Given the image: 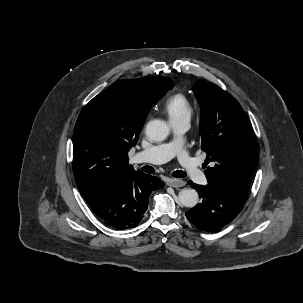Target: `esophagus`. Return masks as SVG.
I'll list each match as a JSON object with an SVG mask.
<instances>
[{"instance_id": "obj_1", "label": "esophagus", "mask_w": 303, "mask_h": 303, "mask_svg": "<svg viewBox=\"0 0 303 303\" xmlns=\"http://www.w3.org/2000/svg\"><path fill=\"white\" fill-rule=\"evenodd\" d=\"M167 185L173 188L183 187L185 182L181 179L170 178L167 180Z\"/></svg>"}]
</instances>
